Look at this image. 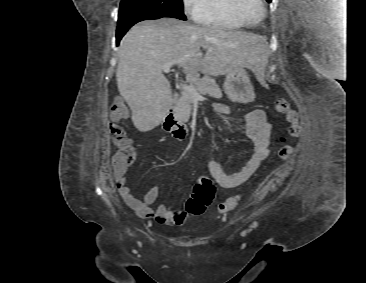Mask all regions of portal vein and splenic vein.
<instances>
[{"mask_svg":"<svg viewBox=\"0 0 366 283\" xmlns=\"http://www.w3.org/2000/svg\"><path fill=\"white\" fill-rule=\"evenodd\" d=\"M178 61H172V62H169V63H166L162 66V71H164L165 73H170L171 71V68L177 64ZM182 90L184 92H190L192 93L194 96H198L199 94L196 92V88L194 85H188V84H182Z\"/></svg>","mask_w":366,"mask_h":283,"instance_id":"18ae733b","label":"portal vein and splenic vein"}]
</instances>
